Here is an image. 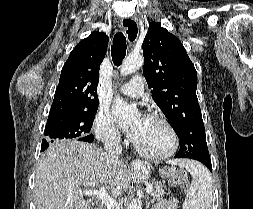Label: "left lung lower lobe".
Returning a JSON list of instances; mask_svg holds the SVG:
<instances>
[{
	"label": "left lung lower lobe",
	"mask_w": 253,
	"mask_h": 209,
	"mask_svg": "<svg viewBox=\"0 0 253 209\" xmlns=\"http://www.w3.org/2000/svg\"><path fill=\"white\" fill-rule=\"evenodd\" d=\"M175 158H178V157L175 156ZM192 159L200 161L212 172V164H211L210 157H198V158H192Z\"/></svg>",
	"instance_id": "1"
}]
</instances>
